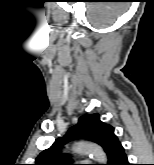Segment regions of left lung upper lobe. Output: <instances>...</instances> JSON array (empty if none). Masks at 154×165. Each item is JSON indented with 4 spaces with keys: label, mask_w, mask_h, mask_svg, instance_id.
I'll return each instance as SVG.
<instances>
[{
    "label": "left lung upper lobe",
    "mask_w": 154,
    "mask_h": 165,
    "mask_svg": "<svg viewBox=\"0 0 154 165\" xmlns=\"http://www.w3.org/2000/svg\"><path fill=\"white\" fill-rule=\"evenodd\" d=\"M81 138L95 142L104 148L108 156L107 165H112L122 147L114 134V128L103 123L98 114L84 115L63 138H58L49 149L41 152L34 165H76L72 163L68 154H63L60 149L66 143Z\"/></svg>",
    "instance_id": "5c2ea615"
}]
</instances>
